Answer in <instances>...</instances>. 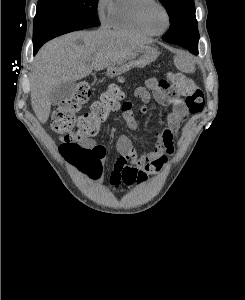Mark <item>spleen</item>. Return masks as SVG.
Returning <instances> with one entry per match:
<instances>
[{
  "mask_svg": "<svg viewBox=\"0 0 245 300\" xmlns=\"http://www.w3.org/2000/svg\"><path fill=\"white\" fill-rule=\"evenodd\" d=\"M180 70L186 73H193L195 71V66L190 57L184 59V63L180 66Z\"/></svg>",
  "mask_w": 245,
  "mask_h": 300,
  "instance_id": "obj_1",
  "label": "spleen"
}]
</instances>
